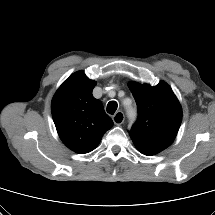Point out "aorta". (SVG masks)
Here are the masks:
<instances>
[{"label": "aorta", "mask_w": 215, "mask_h": 215, "mask_svg": "<svg viewBox=\"0 0 215 215\" xmlns=\"http://www.w3.org/2000/svg\"><path fill=\"white\" fill-rule=\"evenodd\" d=\"M127 114H128L129 117H131V116L133 115V110L128 109V110H127Z\"/></svg>", "instance_id": "obj_1"}]
</instances>
